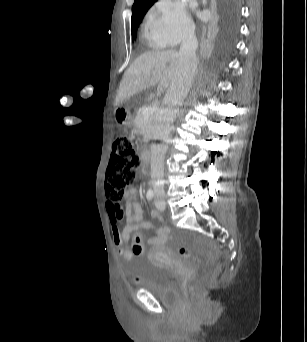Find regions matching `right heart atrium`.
Returning a JSON list of instances; mask_svg holds the SVG:
<instances>
[{"instance_id":"d8ad5b80","label":"right heart atrium","mask_w":307,"mask_h":342,"mask_svg":"<svg viewBox=\"0 0 307 342\" xmlns=\"http://www.w3.org/2000/svg\"><path fill=\"white\" fill-rule=\"evenodd\" d=\"M142 33L161 46L174 47L193 32L192 24L176 8H156L143 25Z\"/></svg>"}]
</instances>
